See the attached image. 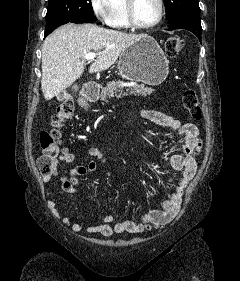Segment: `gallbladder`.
Listing matches in <instances>:
<instances>
[{
	"label": "gallbladder",
	"instance_id": "gallbladder-1",
	"mask_svg": "<svg viewBox=\"0 0 240 281\" xmlns=\"http://www.w3.org/2000/svg\"><path fill=\"white\" fill-rule=\"evenodd\" d=\"M57 99L58 100H63L64 99V95H63V92L61 91V92H59V93H57Z\"/></svg>",
	"mask_w": 240,
	"mask_h": 281
}]
</instances>
